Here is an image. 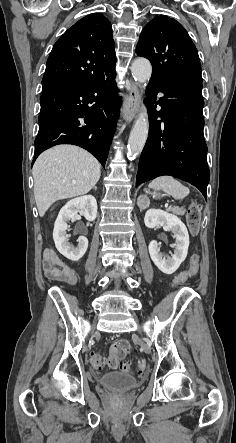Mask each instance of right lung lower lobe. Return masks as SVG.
Listing matches in <instances>:
<instances>
[{
    "mask_svg": "<svg viewBox=\"0 0 236 443\" xmlns=\"http://www.w3.org/2000/svg\"><path fill=\"white\" fill-rule=\"evenodd\" d=\"M116 72L92 81L44 85L36 158L58 144L80 146L105 166L118 116Z\"/></svg>",
    "mask_w": 236,
    "mask_h": 443,
    "instance_id": "98d812e1",
    "label": "right lung lower lobe"
}]
</instances>
